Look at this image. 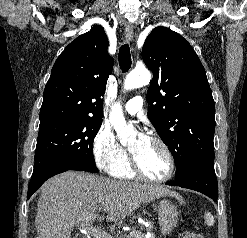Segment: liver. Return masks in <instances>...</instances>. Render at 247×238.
Returning <instances> with one entry per match:
<instances>
[{
    "instance_id": "liver-1",
    "label": "liver",
    "mask_w": 247,
    "mask_h": 238,
    "mask_svg": "<svg viewBox=\"0 0 247 238\" xmlns=\"http://www.w3.org/2000/svg\"><path fill=\"white\" fill-rule=\"evenodd\" d=\"M162 196L179 198L162 185L115 181L76 171L56 175L41 187L35 218L38 238H71L74 227L96 211H104L107 221H121L142 204Z\"/></svg>"
}]
</instances>
